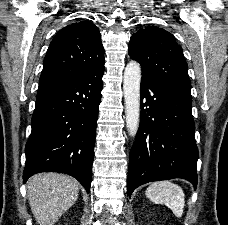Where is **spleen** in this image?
<instances>
[{"label": "spleen", "instance_id": "3e777b00", "mask_svg": "<svg viewBox=\"0 0 228 225\" xmlns=\"http://www.w3.org/2000/svg\"><path fill=\"white\" fill-rule=\"evenodd\" d=\"M145 195L155 205H166L175 217H182L185 207V195L183 189L178 185H174L170 181H158V183H152L146 189Z\"/></svg>", "mask_w": 228, "mask_h": 225}]
</instances>
